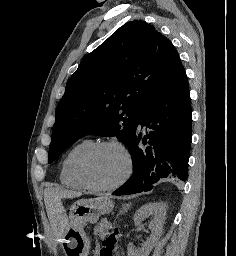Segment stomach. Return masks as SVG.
I'll use <instances>...</instances> for the list:
<instances>
[{
    "label": "stomach",
    "instance_id": "stomach-1",
    "mask_svg": "<svg viewBox=\"0 0 236 256\" xmlns=\"http://www.w3.org/2000/svg\"><path fill=\"white\" fill-rule=\"evenodd\" d=\"M113 202L104 197L81 199L70 208L69 228L65 234L64 250L66 256H87L90 241L84 232L86 223H96L102 214L110 213Z\"/></svg>",
    "mask_w": 236,
    "mask_h": 256
}]
</instances>
